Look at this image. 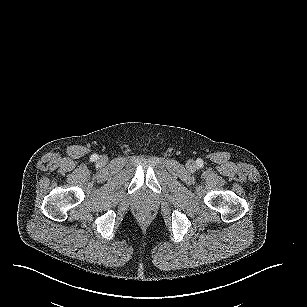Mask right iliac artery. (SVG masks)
Returning <instances> with one entry per match:
<instances>
[{
    "mask_svg": "<svg viewBox=\"0 0 307 307\" xmlns=\"http://www.w3.org/2000/svg\"><path fill=\"white\" fill-rule=\"evenodd\" d=\"M98 159V156L96 155V154H93L92 156H91V160L92 161H95V160H97Z\"/></svg>",
    "mask_w": 307,
    "mask_h": 307,
    "instance_id": "obj_1",
    "label": "right iliac artery"
}]
</instances>
